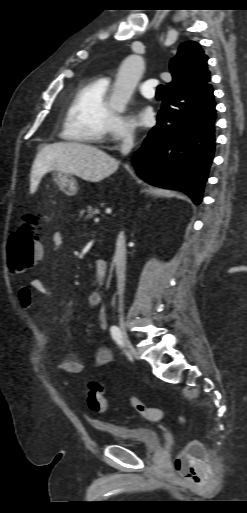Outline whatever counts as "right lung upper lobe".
<instances>
[{
    "instance_id": "1",
    "label": "right lung upper lobe",
    "mask_w": 247,
    "mask_h": 513,
    "mask_svg": "<svg viewBox=\"0 0 247 513\" xmlns=\"http://www.w3.org/2000/svg\"><path fill=\"white\" fill-rule=\"evenodd\" d=\"M207 60L208 57L197 42L182 43L177 56L170 61L173 81L167 84L166 92H198L206 88L210 81Z\"/></svg>"
}]
</instances>
